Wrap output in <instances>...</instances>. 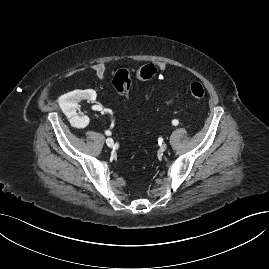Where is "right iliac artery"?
<instances>
[{"label": "right iliac artery", "mask_w": 269, "mask_h": 269, "mask_svg": "<svg viewBox=\"0 0 269 269\" xmlns=\"http://www.w3.org/2000/svg\"><path fill=\"white\" fill-rule=\"evenodd\" d=\"M105 134H106V135H111V132H110L109 130H106V131H105Z\"/></svg>", "instance_id": "right-iliac-artery-1"}]
</instances>
